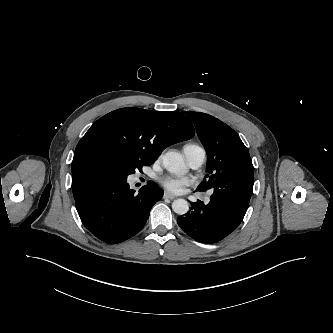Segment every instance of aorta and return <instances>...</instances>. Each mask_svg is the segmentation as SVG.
<instances>
[{"label":"aorta","instance_id":"1","mask_svg":"<svg viewBox=\"0 0 333 333\" xmlns=\"http://www.w3.org/2000/svg\"><path fill=\"white\" fill-rule=\"evenodd\" d=\"M163 166L171 173L184 174L186 172L184 159L176 151H169L163 156ZM172 209L176 214L184 215L188 212L189 205L185 199L179 198L173 201Z\"/></svg>","mask_w":333,"mask_h":333}]
</instances>
